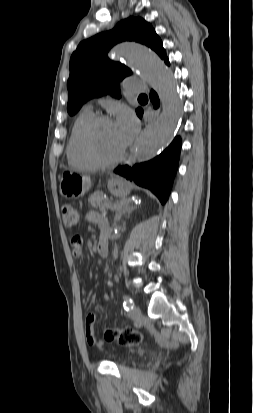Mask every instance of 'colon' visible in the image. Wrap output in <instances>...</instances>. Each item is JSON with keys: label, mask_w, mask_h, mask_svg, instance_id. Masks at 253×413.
<instances>
[{"label": "colon", "mask_w": 253, "mask_h": 413, "mask_svg": "<svg viewBox=\"0 0 253 413\" xmlns=\"http://www.w3.org/2000/svg\"><path fill=\"white\" fill-rule=\"evenodd\" d=\"M63 223L67 227L75 226L79 221V210L70 203H65L61 207ZM106 341L117 340L125 345H137L143 341V335L133 329L111 328L104 332Z\"/></svg>", "instance_id": "1"}]
</instances>
